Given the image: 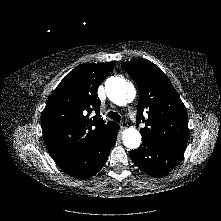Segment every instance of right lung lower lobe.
I'll return each instance as SVG.
<instances>
[{
	"instance_id": "obj_1",
	"label": "right lung lower lobe",
	"mask_w": 221,
	"mask_h": 221,
	"mask_svg": "<svg viewBox=\"0 0 221 221\" xmlns=\"http://www.w3.org/2000/svg\"><path fill=\"white\" fill-rule=\"evenodd\" d=\"M119 126H115L109 135L98 141L77 159L60 165V168L72 177L87 179L95 175L105 164L109 152L117 139Z\"/></svg>"
}]
</instances>
